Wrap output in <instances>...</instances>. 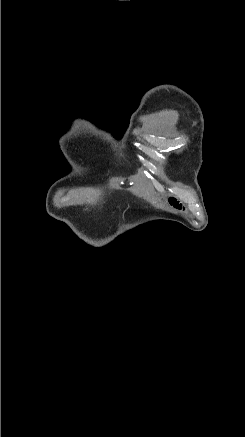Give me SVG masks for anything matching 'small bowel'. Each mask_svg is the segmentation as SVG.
<instances>
[{
	"instance_id": "obj_1",
	"label": "small bowel",
	"mask_w": 245,
	"mask_h": 437,
	"mask_svg": "<svg viewBox=\"0 0 245 437\" xmlns=\"http://www.w3.org/2000/svg\"><path fill=\"white\" fill-rule=\"evenodd\" d=\"M175 204V203H174ZM179 205H178V203L176 204V207H178Z\"/></svg>"
}]
</instances>
